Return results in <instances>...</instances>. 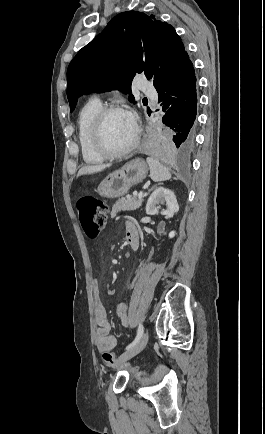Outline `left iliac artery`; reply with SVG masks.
<instances>
[{"label":"left iliac artery","mask_w":265,"mask_h":434,"mask_svg":"<svg viewBox=\"0 0 265 434\" xmlns=\"http://www.w3.org/2000/svg\"><path fill=\"white\" fill-rule=\"evenodd\" d=\"M143 331H144L143 325L139 324L136 338H135V340L131 344H129L126 347L127 350L130 349V348H132L140 340L141 336L143 335Z\"/></svg>","instance_id":"obj_1"}]
</instances>
